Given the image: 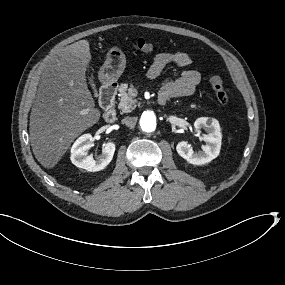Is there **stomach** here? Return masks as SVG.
<instances>
[{"label": "stomach", "mask_w": 285, "mask_h": 285, "mask_svg": "<svg viewBox=\"0 0 285 285\" xmlns=\"http://www.w3.org/2000/svg\"><path fill=\"white\" fill-rule=\"evenodd\" d=\"M126 55L119 46H111L107 53L105 64L100 75L103 82L116 81L126 67Z\"/></svg>", "instance_id": "0dacf381"}]
</instances>
